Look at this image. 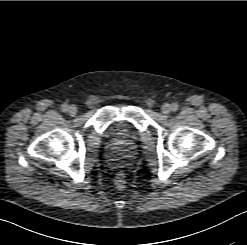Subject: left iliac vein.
Listing matches in <instances>:
<instances>
[{"mask_svg": "<svg viewBox=\"0 0 247 245\" xmlns=\"http://www.w3.org/2000/svg\"><path fill=\"white\" fill-rule=\"evenodd\" d=\"M161 111L163 114L168 115L171 111V105L168 103L163 104L161 107Z\"/></svg>", "mask_w": 247, "mask_h": 245, "instance_id": "left-iliac-vein-1", "label": "left iliac vein"}]
</instances>
